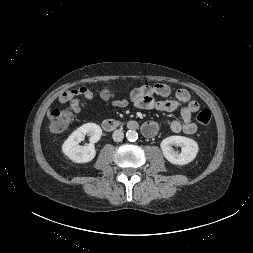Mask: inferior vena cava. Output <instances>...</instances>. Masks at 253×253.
Returning a JSON list of instances; mask_svg holds the SVG:
<instances>
[{
	"label": "inferior vena cava",
	"instance_id": "1",
	"mask_svg": "<svg viewBox=\"0 0 253 253\" xmlns=\"http://www.w3.org/2000/svg\"><path fill=\"white\" fill-rule=\"evenodd\" d=\"M112 138H113V140H114L115 142H120V141H122L123 138H124V133H123V131L120 130V129L115 130V131L113 132V134H112Z\"/></svg>",
	"mask_w": 253,
	"mask_h": 253
}]
</instances>
